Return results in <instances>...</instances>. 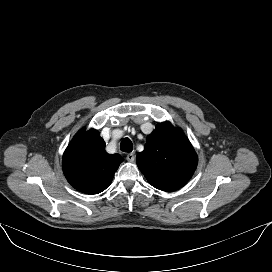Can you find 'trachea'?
I'll list each match as a JSON object with an SVG mask.
<instances>
[{"mask_svg": "<svg viewBox=\"0 0 272 272\" xmlns=\"http://www.w3.org/2000/svg\"><path fill=\"white\" fill-rule=\"evenodd\" d=\"M121 151L131 152L133 150L132 142L129 138H124L121 142Z\"/></svg>", "mask_w": 272, "mask_h": 272, "instance_id": "obj_1", "label": "trachea"}]
</instances>
